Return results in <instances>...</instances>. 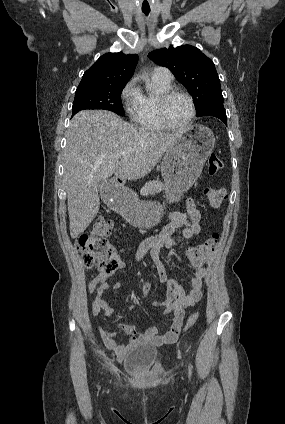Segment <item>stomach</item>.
Returning a JSON list of instances; mask_svg holds the SVG:
<instances>
[{
  "mask_svg": "<svg viewBox=\"0 0 285 424\" xmlns=\"http://www.w3.org/2000/svg\"><path fill=\"white\" fill-rule=\"evenodd\" d=\"M214 145L213 132L203 125H194L166 152L161 174L167 200L177 201L195 183ZM113 206L131 223L147 228L158 224L163 215L159 203L137 197L118 195Z\"/></svg>",
  "mask_w": 285,
  "mask_h": 424,
  "instance_id": "0dacf381",
  "label": "stomach"
}]
</instances>
